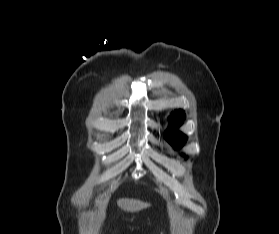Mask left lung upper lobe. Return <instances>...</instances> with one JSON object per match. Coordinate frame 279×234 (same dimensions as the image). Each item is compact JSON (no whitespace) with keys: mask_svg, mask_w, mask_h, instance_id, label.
<instances>
[{"mask_svg":"<svg viewBox=\"0 0 279 234\" xmlns=\"http://www.w3.org/2000/svg\"><path fill=\"white\" fill-rule=\"evenodd\" d=\"M185 113L182 110L174 111L170 117V128L165 132L164 136L174 148H181L186 142V136L177 131V128L183 123Z\"/></svg>","mask_w":279,"mask_h":234,"instance_id":"5c2ea615","label":"left lung upper lobe"}]
</instances>
